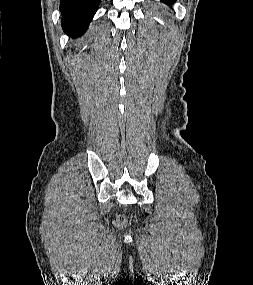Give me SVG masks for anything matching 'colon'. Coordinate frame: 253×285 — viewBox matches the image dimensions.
I'll return each mask as SVG.
<instances>
[{
	"instance_id": "1",
	"label": "colon",
	"mask_w": 253,
	"mask_h": 285,
	"mask_svg": "<svg viewBox=\"0 0 253 285\" xmlns=\"http://www.w3.org/2000/svg\"><path fill=\"white\" fill-rule=\"evenodd\" d=\"M126 222V218L123 215L117 217L115 221L116 226H122Z\"/></svg>"
}]
</instances>
